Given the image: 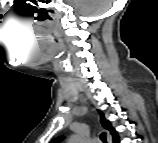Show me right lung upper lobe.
Segmentation results:
<instances>
[{"mask_svg": "<svg viewBox=\"0 0 158 143\" xmlns=\"http://www.w3.org/2000/svg\"><path fill=\"white\" fill-rule=\"evenodd\" d=\"M98 112H99V114L101 116V124H102V126L105 129L110 131L111 135L113 136L114 142L118 141V135H117V132L115 131V129L112 128L110 122L105 119L104 114L100 110H98ZM63 139H64V137H58L57 139H55V142H60Z\"/></svg>", "mask_w": 158, "mask_h": 143, "instance_id": "obj_1", "label": "right lung upper lobe"}]
</instances>
